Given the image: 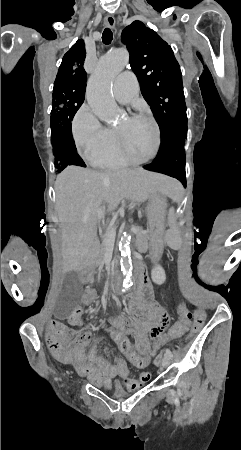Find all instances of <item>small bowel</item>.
I'll list each match as a JSON object with an SVG mask.
<instances>
[{"label":"small bowel","mask_w":241,"mask_h":450,"mask_svg":"<svg viewBox=\"0 0 241 450\" xmlns=\"http://www.w3.org/2000/svg\"><path fill=\"white\" fill-rule=\"evenodd\" d=\"M96 297V290L91 286H87L83 295V304L87 307L91 306ZM141 304L148 311V316H135L134 324L120 316L111 317V321L116 326L114 333H122L124 338H126L125 334L127 331L134 333L132 347H135V355H141L140 350L144 349V354L148 355V358L144 360H150L155 355L152 353V345L156 344V350H159L158 344L160 342L157 340V335L162 333L161 330L167 329L168 323L172 321V318L171 316H165L166 312L163 306L157 304L155 298H143ZM81 323L82 320L78 325ZM50 325L53 328L47 331L49 334L61 336L66 333V330L61 328V321H53ZM136 325L151 326L148 328V335L156 336L152 338L154 340L152 344L148 340L147 331L143 327ZM176 331L185 332V330ZM69 339L75 344L74 347H69L66 344L61 345L60 340L54 339L52 336L47 338L46 345L49 348H57L56 355L65 361L72 362L77 372L83 376H87L93 384L107 387L113 378L121 377L123 379V386L128 390H133L151 380V374L149 372H142L139 375V382H135L129 375L128 363H131V359H127L126 356H110L112 349L104 345L102 337H93L90 332H76L71 333ZM127 342H129L128 339ZM98 344H103V354L106 357L98 355ZM85 346L89 347L87 353L83 352V347Z\"/></svg>","instance_id":"small-bowel-1"}]
</instances>
